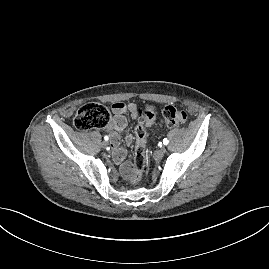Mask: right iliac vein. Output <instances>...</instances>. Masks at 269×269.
Masks as SVG:
<instances>
[{
  "label": "right iliac vein",
  "mask_w": 269,
  "mask_h": 269,
  "mask_svg": "<svg viewBox=\"0 0 269 269\" xmlns=\"http://www.w3.org/2000/svg\"><path fill=\"white\" fill-rule=\"evenodd\" d=\"M101 146H102V148L106 149V148L108 147V142L103 141V142L101 143Z\"/></svg>",
  "instance_id": "right-iliac-vein-1"
}]
</instances>
